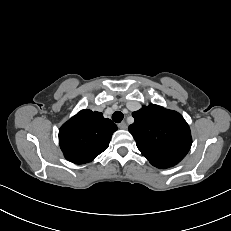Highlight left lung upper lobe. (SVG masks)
Segmentation results:
<instances>
[{
    "label": "left lung upper lobe",
    "instance_id": "1",
    "mask_svg": "<svg viewBox=\"0 0 231 231\" xmlns=\"http://www.w3.org/2000/svg\"><path fill=\"white\" fill-rule=\"evenodd\" d=\"M132 115L135 121L129 132L152 165L161 169L172 167L189 152L190 128L178 112L151 104Z\"/></svg>",
    "mask_w": 231,
    "mask_h": 231
}]
</instances>
